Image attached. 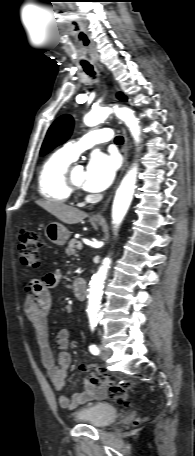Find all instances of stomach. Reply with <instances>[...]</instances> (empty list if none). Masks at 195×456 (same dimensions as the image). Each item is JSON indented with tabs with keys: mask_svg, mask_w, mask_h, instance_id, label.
<instances>
[{
	"mask_svg": "<svg viewBox=\"0 0 195 456\" xmlns=\"http://www.w3.org/2000/svg\"><path fill=\"white\" fill-rule=\"evenodd\" d=\"M45 235L52 243L63 246L70 237L68 229L58 222H51L45 228Z\"/></svg>",
	"mask_w": 195,
	"mask_h": 456,
	"instance_id": "1",
	"label": "stomach"
}]
</instances>
